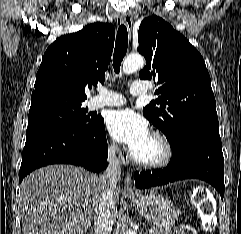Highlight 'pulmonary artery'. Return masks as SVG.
<instances>
[{
    "label": "pulmonary artery",
    "mask_w": 241,
    "mask_h": 234,
    "mask_svg": "<svg viewBox=\"0 0 241 234\" xmlns=\"http://www.w3.org/2000/svg\"><path fill=\"white\" fill-rule=\"evenodd\" d=\"M147 90L148 88L145 84L134 82L131 85L130 93L133 96H139L145 94ZM125 102L123 95L101 88L99 94L90 100L89 106L92 110H95L103 107L122 106Z\"/></svg>",
    "instance_id": "obj_1"
}]
</instances>
